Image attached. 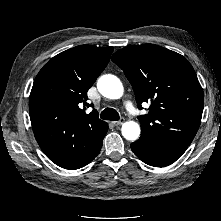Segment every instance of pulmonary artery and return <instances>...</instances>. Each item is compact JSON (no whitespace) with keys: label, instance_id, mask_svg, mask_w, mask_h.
I'll list each match as a JSON object with an SVG mask.
<instances>
[{"label":"pulmonary artery","instance_id":"1","mask_svg":"<svg viewBox=\"0 0 221 221\" xmlns=\"http://www.w3.org/2000/svg\"><path fill=\"white\" fill-rule=\"evenodd\" d=\"M125 107L130 112H133L135 110L134 105L130 101L125 102Z\"/></svg>","mask_w":221,"mask_h":221}]
</instances>
